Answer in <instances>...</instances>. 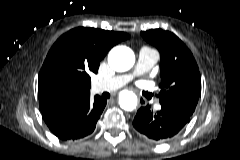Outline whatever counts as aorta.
<instances>
[{
    "mask_svg": "<svg viewBox=\"0 0 240 160\" xmlns=\"http://www.w3.org/2000/svg\"><path fill=\"white\" fill-rule=\"evenodd\" d=\"M109 66L117 72L129 70L135 63L133 51L126 46H116L109 52ZM137 96L130 91H122L119 96V105L126 111H133L137 107Z\"/></svg>",
    "mask_w": 240,
    "mask_h": 160,
    "instance_id": "obj_1",
    "label": "aorta"
}]
</instances>
